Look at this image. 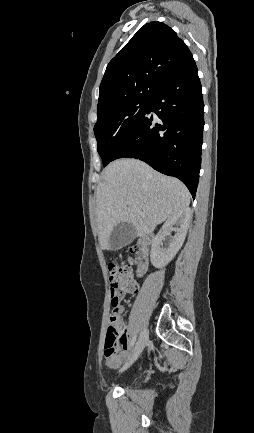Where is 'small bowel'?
I'll return each instance as SVG.
<instances>
[{
    "label": "small bowel",
    "mask_w": 254,
    "mask_h": 433,
    "mask_svg": "<svg viewBox=\"0 0 254 433\" xmlns=\"http://www.w3.org/2000/svg\"><path fill=\"white\" fill-rule=\"evenodd\" d=\"M115 295L118 298V300L121 301L125 297L126 292L116 291ZM123 310H124L123 307L120 306V311L122 312ZM122 324L124 325L123 322H122ZM131 345H132V343H129V340H128V333H127L126 329H124L118 352L114 353L112 355L105 354L106 364L111 368L119 367L120 364L122 363V361L129 358V350L131 348Z\"/></svg>",
    "instance_id": "small-bowel-1"
}]
</instances>
